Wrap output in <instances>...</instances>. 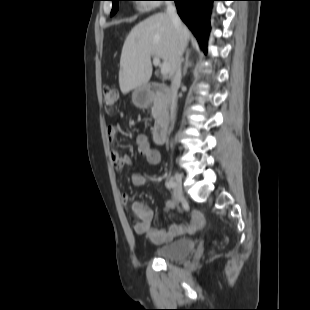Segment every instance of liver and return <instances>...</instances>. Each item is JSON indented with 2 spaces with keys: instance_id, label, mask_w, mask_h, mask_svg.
<instances>
[{
  "instance_id": "obj_1",
  "label": "liver",
  "mask_w": 310,
  "mask_h": 310,
  "mask_svg": "<svg viewBox=\"0 0 310 310\" xmlns=\"http://www.w3.org/2000/svg\"><path fill=\"white\" fill-rule=\"evenodd\" d=\"M184 46L190 37L182 24ZM179 47V34L167 13H157L137 24L127 36L121 53L119 86L123 94L145 86L152 75L151 57H158L169 64L173 76Z\"/></svg>"
}]
</instances>
